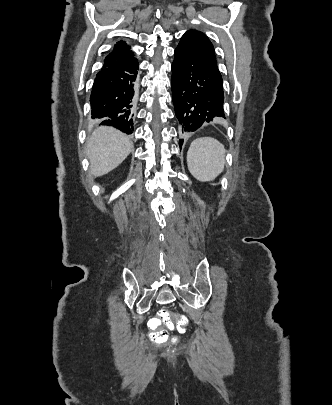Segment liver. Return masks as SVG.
<instances>
[{
  "label": "liver",
  "mask_w": 332,
  "mask_h": 405,
  "mask_svg": "<svg viewBox=\"0 0 332 405\" xmlns=\"http://www.w3.org/2000/svg\"><path fill=\"white\" fill-rule=\"evenodd\" d=\"M133 150L126 134L113 127H98L87 143L91 173L103 176L119 166Z\"/></svg>",
  "instance_id": "6515ba94"
}]
</instances>
